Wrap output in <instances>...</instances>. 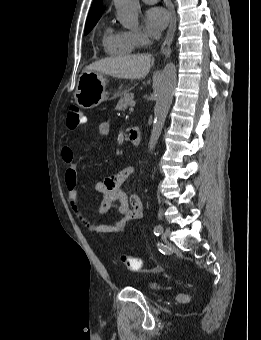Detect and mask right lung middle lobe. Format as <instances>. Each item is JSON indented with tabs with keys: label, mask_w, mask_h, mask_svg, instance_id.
Here are the masks:
<instances>
[{
	"label": "right lung middle lobe",
	"mask_w": 261,
	"mask_h": 340,
	"mask_svg": "<svg viewBox=\"0 0 261 340\" xmlns=\"http://www.w3.org/2000/svg\"><path fill=\"white\" fill-rule=\"evenodd\" d=\"M98 20L96 21H93V22H89V23H86V26H85V34H88L89 31L96 25Z\"/></svg>",
	"instance_id": "right-lung-middle-lobe-1"
}]
</instances>
